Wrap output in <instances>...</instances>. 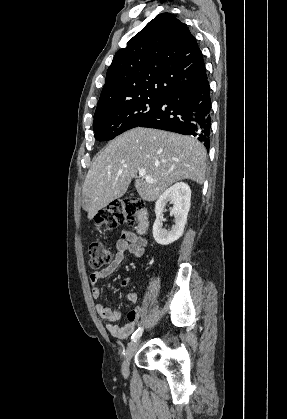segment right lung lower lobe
Instances as JSON below:
<instances>
[{"label": "right lung lower lobe", "instance_id": "right-lung-lower-lobe-1", "mask_svg": "<svg viewBox=\"0 0 287 419\" xmlns=\"http://www.w3.org/2000/svg\"><path fill=\"white\" fill-rule=\"evenodd\" d=\"M139 126L194 136L209 150L211 97L207 76L168 93Z\"/></svg>", "mask_w": 287, "mask_h": 419}]
</instances>
